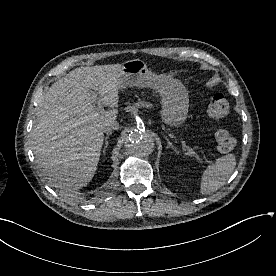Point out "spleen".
<instances>
[{"mask_svg":"<svg viewBox=\"0 0 276 276\" xmlns=\"http://www.w3.org/2000/svg\"><path fill=\"white\" fill-rule=\"evenodd\" d=\"M236 166L234 154H228L216 159L215 163L204 171L200 192L210 194L222 187L233 173Z\"/></svg>","mask_w":276,"mask_h":276,"instance_id":"spleen-1","label":"spleen"}]
</instances>
